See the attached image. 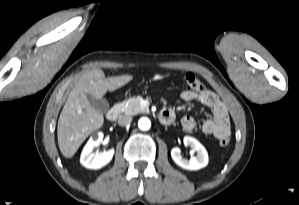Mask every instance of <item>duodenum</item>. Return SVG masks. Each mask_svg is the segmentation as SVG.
Listing matches in <instances>:
<instances>
[{
    "label": "duodenum",
    "instance_id": "duodenum-1",
    "mask_svg": "<svg viewBox=\"0 0 299 205\" xmlns=\"http://www.w3.org/2000/svg\"><path fill=\"white\" fill-rule=\"evenodd\" d=\"M120 113V109L118 106L112 107L107 113V119L110 121H115ZM173 115L169 112H161L160 121L164 124H169L173 121Z\"/></svg>",
    "mask_w": 299,
    "mask_h": 205
}]
</instances>
